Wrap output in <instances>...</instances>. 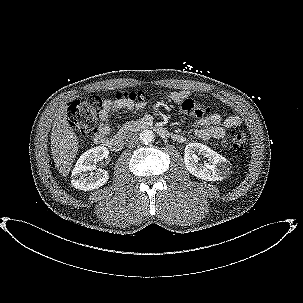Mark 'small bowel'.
I'll return each instance as SVG.
<instances>
[{
    "label": "small bowel",
    "instance_id": "obj_1",
    "mask_svg": "<svg viewBox=\"0 0 303 303\" xmlns=\"http://www.w3.org/2000/svg\"><path fill=\"white\" fill-rule=\"evenodd\" d=\"M170 98L176 102L181 103L183 100L190 98L189 93L186 91H180V92H171L169 94ZM146 103L145 102H128L125 100H115L106 102L102 109L99 111L98 117H99V128L98 133L96 135V141H98L100 144L103 143L105 139H107V136L111 132V126L108 123L110 115L119 109H127V110H133L137 109L140 112L146 111ZM204 110V115L202 117H199L198 124L200 128H198L195 131V135L202 140H224L226 129L237 127L241 125V119L236 116L232 115L227 117L224 122L222 123V118L217 113H211L208 110ZM173 140L182 143L184 142L185 138L183 135L174 133L172 135Z\"/></svg>",
    "mask_w": 303,
    "mask_h": 303
}]
</instances>
